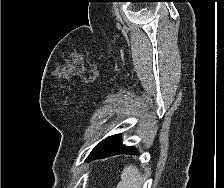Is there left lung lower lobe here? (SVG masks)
I'll use <instances>...</instances> for the list:
<instances>
[{"label": "left lung lower lobe", "instance_id": "0a47b994", "mask_svg": "<svg viewBox=\"0 0 224 188\" xmlns=\"http://www.w3.org/2000/svg\"><path fill=\"white\" fill-rule=\"evenodd\" d=\"M133 150H134V147L121 145L120 134L113 135L101 141L91 151L86 161L89 162L94 159L106 158L112 155H117L119 153L135 154Z\"/></svg>", "mask_w": 224, "mask_h": 188}]
</instances>
